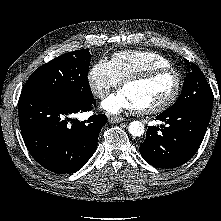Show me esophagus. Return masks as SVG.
I'll return each instance as SVG.
<instances>
[{
	"mask_svg": "<svg viewBox=\"0 0 221 221\" xmlns=\"http://www.w3.org/2000/svg\"><path fill=\"white\" fill-rule=\"evenodd\" d=\"M108 121L110 123H119V122L124 121V118L123 117L108 116Z\"/></svg>",
	"mask_w": 221,
	"mask_h": 221,
	"instance_id": "esophagus-1",
	"label": "esophagus"
}]
</instances>
